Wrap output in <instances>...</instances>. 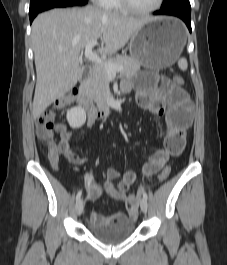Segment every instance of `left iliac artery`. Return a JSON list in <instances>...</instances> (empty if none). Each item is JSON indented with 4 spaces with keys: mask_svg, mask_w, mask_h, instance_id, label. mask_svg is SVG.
Masks as SVG:
<instances>
[{
    "mask_svg": "<svg viewBox=\"0 0 227 265\" xmlns=\"http://www.w3.org/2000/svg\"><path fill=\"white\" fill-rule=\"evenodd\" d=\"M141 192H142L143 198L145 200H147L148 199V196H147V193L145 192V190L143 188L141 189Z\"/></svg>",
    "mask_w": 227,
    "mask_h": 265,
    "instance_id": "obj_1",
    "label": "left iliac artery"
}]
</instances>
